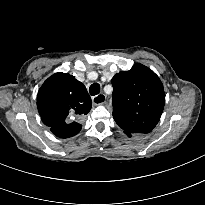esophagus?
Listing matches in <instances>:
<instances>
[{
    "mask_svg": "<svg viewBox=\"0 0 205 205\" xmlns=\"http://www.w3.org/2000/svg\"><path fill=\"white\" fill-rule=\"evenodd\" d=\"M105 100H106V96L102 93L92 97V102L95 105L103 104Z\"/></svg>",
    "mask_w": 205,
    "mask_h": 205,
    "instance_id": "esophagus-1",
    "label": "esophagus"
}]
</instances>
